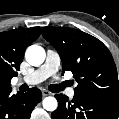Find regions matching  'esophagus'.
Wrapping results in <instances>:
<instances>
[{
	"label": "esophagus",
	"instance_id": "obj_1",
	"mask_svg": "<svg viewBox=\"0 0 119 119\" xmlns=\"http://www.w3.org/2000/svg\"><path fill=\"white\" fill-rule=\"evenodd\" d=\"M42 95L45 97V96H49V95H51V92H49L48 90H45V89H43L42 90Z\"/></svg>",
	"mask_w": 119,
	"mask_h": 119
}]
</instances>
